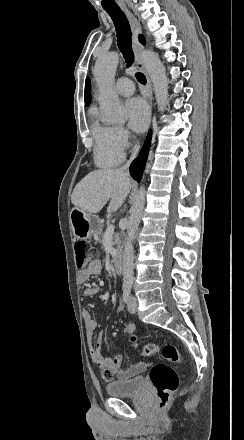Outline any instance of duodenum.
Segmentation results:
<instances>
[{
  "mask_svg": "<svg viewBox=\"0 0 244 440\" xmlns=\"http://www.w3.org/2000/svg\"><path fill=\"white\" fill-rule=\"evenodd\" d=\"M114 270L117 273H122L123 271V256L121 254H115L113 257Z\"/></svg>",
  "mask_w": 244,
  "mask_h": 440,
  "instance_id": "duodenum-1",
  "label": "duodenum"
}]
</instances>
